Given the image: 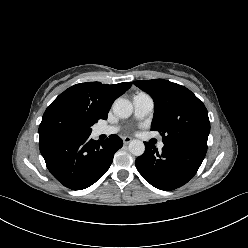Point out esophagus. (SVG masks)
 I'll list each match as a JSON object with an SVG mask.
<instances>
[{
  "label": "esophagus",
  "mask_w": 248,
  "mask_h": 248,
  "mask_svg": "<svg viewBox=\"0 0 248 248\" xmlns=\"http://www.w3.org/2000/svg\"><path fill=\"white\" fill-rule=\"evenodd\" d=\"M132 140H133V138L130 137V136H125V137H123V143H124V144L130 143Z\"/></svg>",
  "instance_id": "esophagus-1"
}]
</instances>
